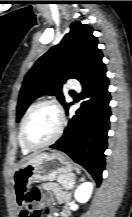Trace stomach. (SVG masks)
I'll list each match as a JSON object with an SVG mask.
<instances>
[{
  "label": "stomach",
  "mask_w": 132,
  "mask_h": 217,
  "mask_svg": "<svg viewBox=\"0 0 132 217\" xmlns=\"http://www.w3.org/2000/svg\"><path fill=\"white\" fill-rule=\"evenodd\" d=\"M74 170L69 157L62 152L40 153L21 164L14 172V186L25 187L34 181H51Z\"/></svg>",
  "instance_id": "1"
}]
</instances>
